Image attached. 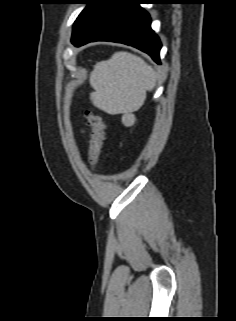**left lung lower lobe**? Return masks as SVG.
I'll return each instance as SVG.
<instances>
[{
    "mask_svg": "<svg viewBox=\"0 0 236 321\" xmlns=\"http://www.w3.org/2000/svg\"><path fill=\"white\" fill-rule=\"evenodd\" d=\"M148 0H93L71 42L80 47L112 41L136 47L160 64L161 42L151 29L149 14L140 7Z\"/></svg>",
    "mask_w": 236,
    "mask_h": 321,
    "instance_id": "0a47b994",
    "label": "left lung lower lobe"
}]
</instances>
